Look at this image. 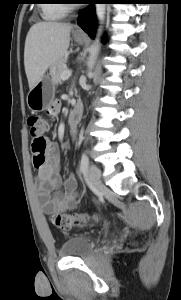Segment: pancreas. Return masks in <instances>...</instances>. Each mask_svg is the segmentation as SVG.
I'll list each match as a JSON object with an SVG mask.
<instances>
[{
    "label": "pancreas",
    "instance_id": "pancreas-1",
    "mask_svg": "<svg viewBox=\"0 0 181 300\" xmlns=\"http://www.w3.org/2000/svg\"><path fill=\"white\" fill-rule=\"evenodd\" d=\"M65 64L66 57H62L50 67V76L54 85L61 83V75L66 70Z\"/></svg>",
    "mask_w": 181,
    "mask_h": 300
}]
</instances>
